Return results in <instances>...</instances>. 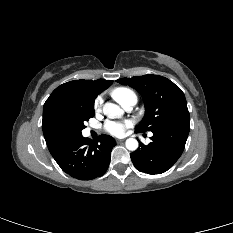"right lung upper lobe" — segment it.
I'll use <instances>...</instances> for the list:
<instances>
[{
  "label": "right lung upper lobe",
  "mask_w": 233,
  "mask_h": 233,
  "mask_svg": "<svg viewBox=\"0 0 233 233\" xmlns=\"http://www.w3.org/2000/svg\"><path fill=\"white\" fill-rule=\"evenodd\" d=\"M112 82L105 79L74 80L60 85L51 93L43 107L42 121L43 134L50 152L61 146L54 142L52 135L55 118L78 104L94 103L97 95Z\"/></svg>",
  "instance_id": "1"
}]
</instances>
